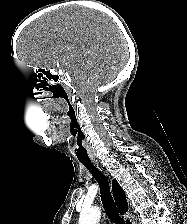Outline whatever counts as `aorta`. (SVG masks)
<instances>
[{
    "mask_svg": "<svg viewBox=\"0 0 187 224\" xmlns=\"http://www.w3.org/2000/svg\"><path fill=\"white\" fill-rule=\"evenodd\" d=\"M100 217L99 208L83 209L80 213L79 224H98Z\"/></svg>",
    "mask_w": 187,
    "mask_h": 224,
    "instance_id": "aorta-1",
    "label": "aorta"
}]
</instances>
